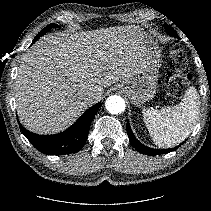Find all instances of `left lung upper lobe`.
Segmentation results:
<instances>
[{
  "mask_svg": "<svg viewBox=\"0 0 211 211\" xmlns=\"http://www.w3.org/2000/svg\"><path fill=\"white\" fill-rule=\"evenodd\" d=\"M165 31H166L170 36H173V37L178 38L177 33H176V32L173 30V28H171L169 25H165Z\"/></svg>",
  "mask_w": 211,
  "mask_h": 211,
  "instance_id": "5c2ea615",
  "label": "left lung upper lobe"
}]
</instances>
